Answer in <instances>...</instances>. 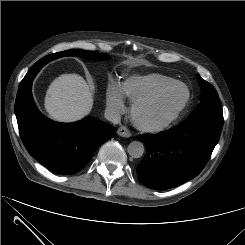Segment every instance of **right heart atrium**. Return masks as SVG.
<instances>
[{
    "mask_svg": "<svg viewBox=\"0 0 245 245\" xmlns=\"http://www.w3.org/2000/svg\"><path fill=\"white\" fill-rule=\"evenodd\" d=\"M105 96L107 108L112 116L116 117L125 112L126 105L120 84L109 83Z\"/></svg>",
    "mask_w": 245,
    "mask_h": 245,
    "instance_id": "1",
    "label": "right heart atrium"
}]
</instances>
